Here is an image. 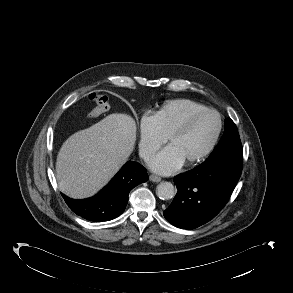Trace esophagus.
<instances>
[{
  "label": "esophagus",
  "mask_w": 293,
  "mask_h": 293,
  "mask_svg": "<svg viewBox=\"0 0 293 293\" xmlns=\"http://www.w3.org/2000/svg\"><path fill=\"white\" fill-rule=\"evenodd\" d=\"M149 180L152 181V182H155V183L161 182V178L156 176V175H150Z\"/></svg>",
  "instance_id": "34e87169"
}]
</instances>
